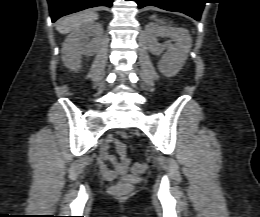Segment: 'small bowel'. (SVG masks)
<instances>
[{"label":"small bowel","instance_id":"small-bowel-1","mask_svg":"<svg viewBox=\"0 0 260 217\" xmlns=\"http://www.w3.org/2000/svg\"><path fill=\"white\" fill-rule=\"evenodd\" d=\"M112 144H114L118 156L109 153V147ZM98 158L99 171L107 180H113L118 175L126 174L130 165V158L127 155L125 145L113 136H108L105 139L103 146L99 149ZM103 161H109L111 168L107 167Z\"/></svg>","mask_w":260,"mask_h":217}]
</instances>
